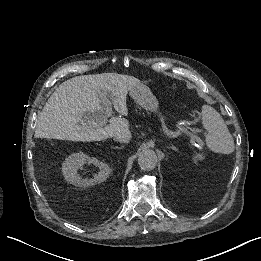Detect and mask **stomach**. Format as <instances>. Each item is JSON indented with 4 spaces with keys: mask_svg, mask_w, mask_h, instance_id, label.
<instances>
[{
    "mask_svg": "<svg viewBox=\"0 0 261 261\" xmlns=\"http://www.w3.org/2000/svg\"><path fill=\"white\" fill-rule=\"evenodd\" d=\"M129 92L131 97L139 106L150 112H158L159 102L148 86L140 83L133 86ZM160 120L161 122H165V118H163V116H160Z\"/></svg>",
    "mask_w": 261,
    "mask_h": 261,
    "instance_id": "stomach-1",
    "label": "stomach"
}]
</instances>
